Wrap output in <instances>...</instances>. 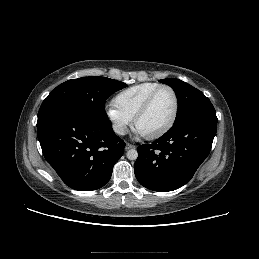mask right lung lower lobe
Listing matches in <instances>:
<instances>
[{
    "instance_id": "98d812e1",
    "label": "right lung lower lobe",
    "mask_w": 259,
    "mask_h": 259,
    "mask_svg": "<svg viewBox=\"0 0 259 259\" xmlns=\"http://www.w3.org/2000/svg\"><path fill=\"white\" fill-rule=\"evenodd\" d=\"M37 135L46 161L67 186L78 191L104 186L125 148L110 120L74 111L38 120Z\"/></svg>"
}]
</instances>
